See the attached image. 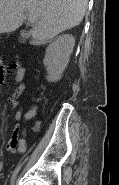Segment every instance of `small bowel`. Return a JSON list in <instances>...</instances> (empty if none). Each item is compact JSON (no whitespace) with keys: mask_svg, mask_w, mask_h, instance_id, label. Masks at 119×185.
Returning a JSON list of instances; mask_svg holds the SVG:
<instances>
[{"mask_svg":"<svg viewBox=\"0 0 119 185\" xmlns=\"http://www.w3.org/2000/svg\"><path fill=\"white\" fill-rule=\"evenodd\" d=\"M15 69V82L16 87L9 97V102L11 103L12 108H18L19 99L24 93L25 90V69L20 65L18 61H12L8 64L1 63L0 65V84H4L7 78L8 70ZM35 114V110H31L26 118L30 119ZM22 117L21 110L18 108L15 113L16 121H19ZM7 148L10 151L24 152L26 150V131L22 130V136L19 135V124L16 125L15 130L8 141Z\"/></svg>","mask_w":119,"mask_h":185,"instance_id":"c3829d8e","label":"small bowel"}]
</instances>
